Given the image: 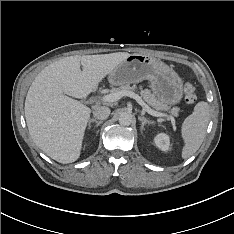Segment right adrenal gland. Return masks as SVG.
Wrapping results in <instances>:
<instances>
[{
    "instance_id": "right-adrenal-gland-1",
    "label": "right adrenal gland",
    "mask_w": 234,
    "mask_h": 234,
    "mask_svg": "<svg viewBox=\"0 0 234 234\" xmlns=\"http://www.w3.org/2000/svg\"><path fill=\"white\" fill-rule=\"evenodd\" d=\"M91 123H96V127H98L102 123V121H98L96 119L89 120V128L91 127Z\"/></svg>"
}]
</instances>
